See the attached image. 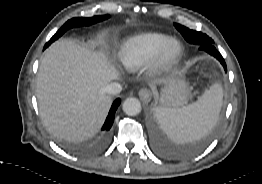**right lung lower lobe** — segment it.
<instances>
[{"instance_id":"1","label":"right lung lower lobe","mask_w":262,"mask_h":184,"mask_svg":"<svg viewBox=\"0 0 262 184\" xmlns=\"http://www.w3.org/2000/svg\"><path fill=\"white\" fill-rule=\"evenodd\" d=\"M119 104H120V99L119 98L116 99L113 102V104H112V107H111V109L109 111V114H108V116L106 118V121H105V123H104V125L102 127V133H103L104 137H107L108 132H109L110 128L112 127V124H113V121H114V115H115V112H116Z\"/></svg>"}]
</instances>
